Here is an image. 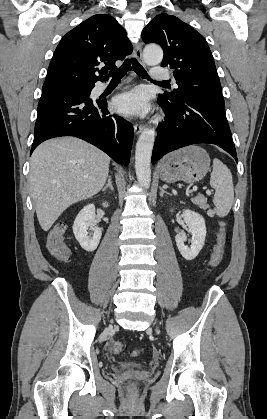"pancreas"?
Segmentation results:
<instances>
[{
    "label": "pancreas",
    "mask_w": 267,
    "mask_h": 419,
    "mask_svg": "<svg viewBox=\"0 0 267 419\" xmlns=\"http://www.w3.org/2000/svg\"><path fill=\"white\" fill-rule=\"evenodd\" d=\"M192 202L203 210H207L209 208L207 199L204 196H196L192 198Z\"/></svg>",
    "instance_id": "cf45deb5"
}]
</instances>
